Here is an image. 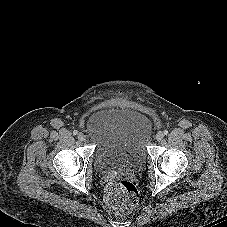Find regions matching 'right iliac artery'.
<instances>
[{"instance_id": "1", "label": "right iliac artery", "mask_w": 227, "mask_h": 227, "mask_svg": "<svg viewBox=\"0 0 227 227\" xmlns=\"http://www.w3.org/2000/svg\"><path fill=\"white\" fill-rule=\"evenodd\" d=\"M73 134H74V135H77V134H78V131H77V130H74V131H73Z\"/></svg>"}]
</instances>
